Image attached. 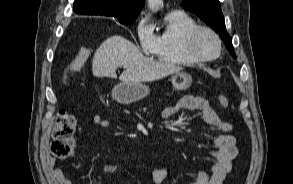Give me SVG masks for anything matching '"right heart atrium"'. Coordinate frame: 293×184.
Returning a JSON list of instances; mask_svg holds the SVG:
<instances>
[{"instance_id":"1","label":"right heart atrium","mask_w":293,"mask_h":184,"mask_svg":"<svg viewBox=\"0 0 293 184\" xmlns=\"http://www.w3.org/2000/svg\"><path fill=\"white\" fill-rule=\"evenodd\" d=\"M135 31L141 50L146 54H152L156 44V34L151 20L142 16L136 23Z\"/></svg>"}]
</instances>
